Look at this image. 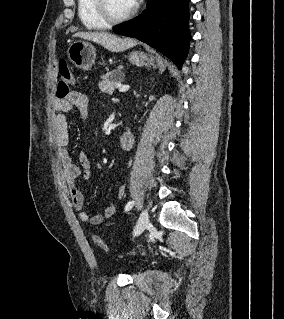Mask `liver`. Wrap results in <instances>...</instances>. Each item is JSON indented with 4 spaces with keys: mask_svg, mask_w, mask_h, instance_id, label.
I'll return each mask as SVG.
<instances>
[{
    "mask_svg": "<svg viewBox=\"0 0 284 319\" xmlns=\"http://www.w3.org/2000/svg\"><path fill=\"white\" fill-rule=\"evenodd\" d=\"M74 37L98 43L111 52H121L137 44L135 39L120 38L108 32H77Z\"/></svg>",
    "mask_w": 284,
    "mask_h": 319,
    "instance_id": "1",
    "label": "liver"
}]
</instances>
